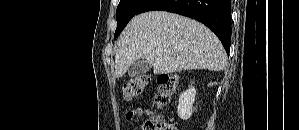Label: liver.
Wrapping results in <instances>:
<instances>
[{
    "instance_id": "liver-1",
    "label": "liver",
    "mask_w": 299,
    "mask_h": 130,
    "mask_svg": "<svg viewBox=\"0 0 299 130\" xmlns=\"http://www.w3.org/2000/svg\"><path fill=\"white\" fill-rule=\"evenodd\" d=\"M150 62L154 74L181 70L221 71L227 55L217 36L203 24L165 11L135 16L117 42L115 77L137 60Z\"/></svg>"
}]
</instances>
